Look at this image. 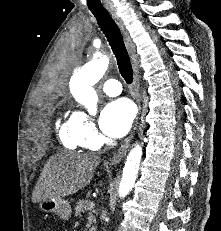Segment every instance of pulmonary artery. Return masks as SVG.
Here are the masks:
<instances>
[{
  "label": "pulmonary artery",
  "instance_id": "e3ab8cb5",
  "mask_svg": "<svg viewBox=\"0 0 221 231\" xmlns=\"http://www.w3.org/2000/svg\"><path fill=\"white\" fill-rule=\"evenodd\" d=\"M103 91L108 96H117L122 92L120 82L114 79L107 80L103 83Z\"/></svg>",
  "mask_w": 221,
  "mask_h": 231
}]
</instances>
